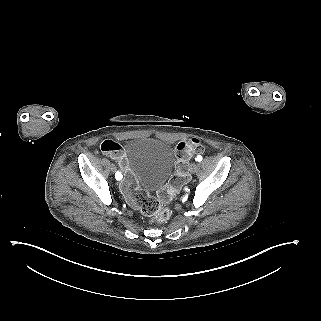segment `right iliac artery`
Instances as JSON below:
<instances>
[{
    "label": "right iliac artery",
    "instance_id": "obj_1",
    "mask_svg": "<svg viewBox=\"0 0 321 321\" xmlns=\"http://www.w3.org/2000/svg\"><path fill=\"white\" fill-rule=\"evenodd\" d=\"M115 178H116L117 180H121V179H122L121 173H120V172H116Z\"/></svg>",
    "mask_w": 321,
    "mask_h": 321
}]
</instances>
